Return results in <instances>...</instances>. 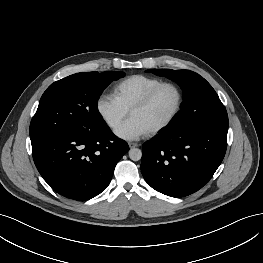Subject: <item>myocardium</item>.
Returning a JSON list of instances; mask_svg holds the SVG:
<instances>
[{
  "label": "myocardium",
  "instance_id": "f54148a6",
  "mask_svg": "<svg viewBox=\"0 0 263 263\" xmlns=\"http://www.w3.org/2000/svg\"><path fill=\"white\" fill-rule=\"evenodd\" d=\"M163 87H171L176 91L177 94V102L174 110L170 114V116L164 120L162 123L154 127L152 130L149 131L150 134H157L167 127H169L174 120L177 118L179 115L183 102H184V93L182 88L175 82L173 81H162L153 88H151L140 100H138L130 109H129V114H131L133 111L142 109L145 106H147L150 101L153 99V97L157 94V92L162 89Z\"/></svg>",
  "mask_w": 263,
  "mask_h": 263
}]
</instances>
